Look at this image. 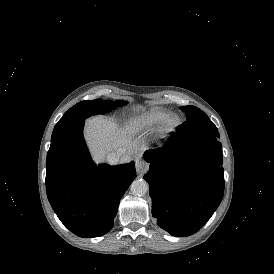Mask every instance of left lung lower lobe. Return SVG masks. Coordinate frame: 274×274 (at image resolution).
<instances>
[{
    "label": "left lung lower lobe",
    "instance_id": "1",
    "mask_svg": "<svg viewBox=\"0 0 274 274\" xmlns=\"http://www.w3.org/2000/svg\"><path fill=\"white\" fill-rule=\"evenodd\" d=\"M213 135L176 133L145 154L150 170L152 215L173 236L197 232L213 215L224 193L222 145Z\"/></svg>",
    "mask_w": 274,
    "mask_h": 274
}]
</instances>
